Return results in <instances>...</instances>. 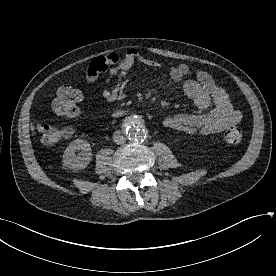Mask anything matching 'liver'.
I'll return each mask as SVG.
<instances>
[{
  "instance_id": "liver-1",
  "label": "liver",
  "mask_w": 276,
  "mask_h": 276,
  "mask_svg": "<svg viewBox=\"0 0 276 276\" xmlns=\"http://www.w3.org/2000/svg\"><path fill=\"white\" fill-rule=\"evenodd\" d=\"M35 127L33 125H31V130L34 131ZM35 133H33L34 135Z\"/></svg>"
}]
</instances>
